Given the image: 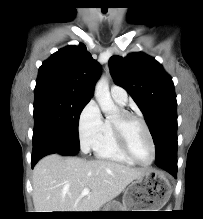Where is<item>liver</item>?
<instances>
[{
	"mask_svg": "<svg viewBox=\"0 0 203 219\" xmlns=\"http://www.w3.org/2000/svg\"><path fill=\"white\" fill-rule=\"evenodd\" d=\"M145 171L113 161L51 154L33 170L34 208L36 212L99 211ZM84 188L90 193L82 196Z\"/></svg>",
	"mask_w": 203,
	"mask_h": 219,
	"instance_id": "1",
	"label": "liver"
}]
</instances>
